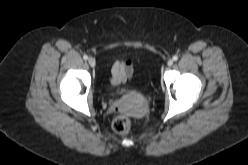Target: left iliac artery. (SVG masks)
<instances>
[{
    "mask_svg": "<svg viewBox=\"0 0 248 165\" xmlns=\"http://www.w3.org/2000/svg\"><path fill=\"white\" fill-rule=\"evenodd\" d=\"M173 60H174V61H177V60H178V56H177V55H174V56H173Z\"/></svg>",
    "mask_w": 248,
    "mask_h": 165,
    "instance_id": "obj_1",
    "label": "left iliac artery"
}]
</instances>
